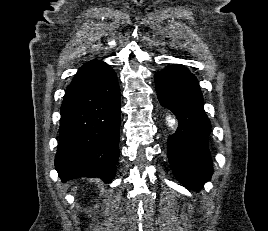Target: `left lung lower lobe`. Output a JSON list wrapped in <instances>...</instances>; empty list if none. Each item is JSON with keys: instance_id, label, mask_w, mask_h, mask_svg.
Listing matches in <instances>:
<instances>
[{"instance_id": "0a47b994", "label": "left lung lower lobe", "mask_w": 268, "mask_h": 231, "mask_svg": "<svg viewBox=\"0 0 268 231\" xmlns=\"http://www.w3.org/2000/svg\"><path fill=\"white\" fill-rule=\"evenodd\" d=\"M158 99L178 119L169 137L168 159L174 175L187 188L200 190L213 173L209 151L210 121L196 77L182 65H171L155 74Z\"/></svg>"}]
</instances>
